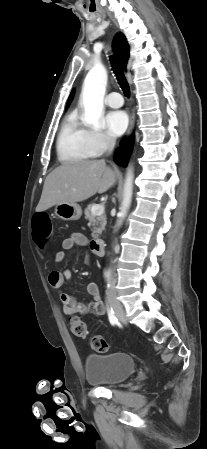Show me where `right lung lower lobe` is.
I'll use <instances>...</instances> for the list:
<instances>
[{
    "instance_id": "obj_1",
    "label": "right lung lower lobe",
    "mask_w": 207,
    "mask_h": 449,
    "mask_svg": "<svg viewBox=\"0 0 207 449\" xmlns=\"http://www.w3.org/2000/svg\"><path fill=\"white\" fill-rule=\"evenodd\" d=\"M131 144H132L131 141H129L128 143L123 141L120 149H117L115 156H114V160L117 164H122V165L126 166V164L128 162V156L131 151V146H132Z\"/></svg>"
}]
</instances>
